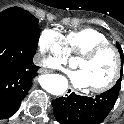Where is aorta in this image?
I'll list each match as a JSON object with an SVG mask.
<instances>
[{
    "instance_id": "762f6f07",
    "label": "aorta",
    "mask_w": 124,
    "mask_h": 124,
    "mask_svg": "<svg viewBox=\"0 0 124 124\" xmlns=\"http://www.w3.org/2000/svg\"><path fill=\"white\" fill-rule=\"evenodd\" d=\"M44 89L52 95H62L68 88V81L61 75H50L43 83Z\"/></svg>"
}]
</instances>
